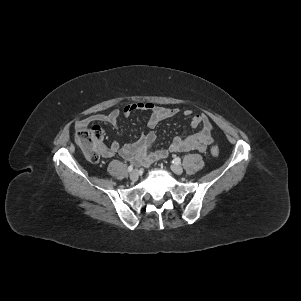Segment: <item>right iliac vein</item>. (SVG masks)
<instances>
[{
  "label": "right iliac vein",
  "mask_w": 301,
  "mask_h": 301,
  "mask_svg": "<svg viewBox=\"0 0 301 301\" xmlns=\"http://www.w3.org/2000/svg\"><path fill=\"white\" fill-rule=\"evenodd\" d=\"M139 177V172L137 169H134L131 173H130V179L132 181H136Z\"/></svg>",
  "instance_id": "1"
}]
</instances>
